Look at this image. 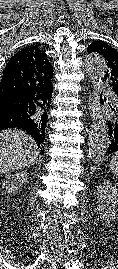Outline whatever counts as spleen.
Instances as JSON below:
<instances>
[{
    "label": "spleen",
    "instance_id": "3e777b00",
    "mask_svg": "<svg viewBox=\"0 0 118 269\" xmlns=\"http://www.w3.org/2000/svg\"><path fill=\"white\" fill-rule=\"evenodd\" d=\"M110 170L112 174L118 178V152H116L111 159Z\"/></svg>",
    "mask_w": 118,
    "mask_h": 269
}]
</instances>
